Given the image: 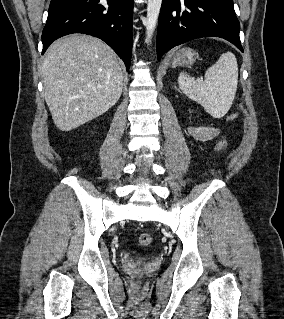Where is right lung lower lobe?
Here are the masks:
<instances>
[{
	"instance_id": "right-lung-lower-lobe-1",
	"label": "right lung lower lobe",
	"mask_w": 284,
	"mask_h": 319,
	"mask_svg": "<svg viewBox=\"0 0 284 319\" xmlns=\"http://www.w3.org/2000/svg\"><path fill=\"white\" fill-rule=\"evenodd\" d=\"M133 0H51L42 32L43 51L56 39L85 33L106 42L124 61L132 52Z\"/></svg>"
}]
</instances>
